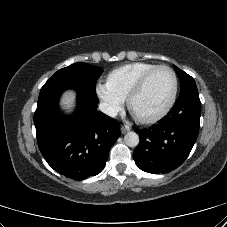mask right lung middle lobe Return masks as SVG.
Listing matches in <instances>:
<instances>
[{"mask_svg": "<svg viewBox=\"0 0 227 227\" xmlns=\"http://www.w3.org/2000/svg\"><path fill=\"white\" fill-rule=\"evenodd\" d=\"M103 69L85 63H74L58 70L44 86L66 83L77 86L88 94L96 96L95 85Z\"/></svg>", "mask_w": 227, "mask_h": 227, "instance_id": "obj_1", "label": "right lung middle lobe"}]
</instances>
